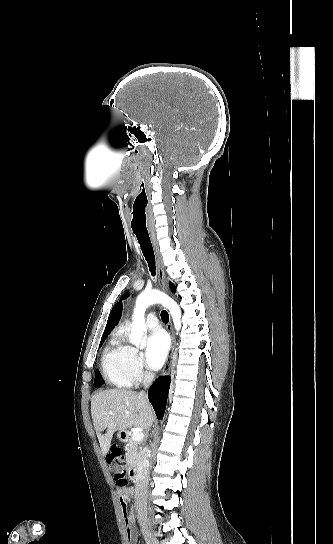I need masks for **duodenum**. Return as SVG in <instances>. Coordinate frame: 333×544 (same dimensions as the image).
Wrapping results in <instances>:
<instances>
[{
    "label": "duodenum",
    "mask_w": 333,
    "mask_h": 544,
    "mask_svg": "<svg viewBox=\"0 0 333 544\" xmlns=\"http://www.w3.org/2000/svg\"><path fill=\"white\" fill-rule=\"evenodd\" d=\"M121 438L124 442H126L128 440V435L127 433H122L121 435ZM128 474H129V478L133 481V482H138L141 480L142 478V471L140 470V468L138 466H131L129 469H128Z\"/></svg>",
    "instance_id": "1"
}]
</instances>
